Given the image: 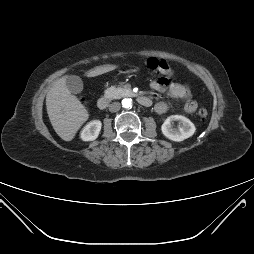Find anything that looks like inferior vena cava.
<instances>
[{"instance_id": "obj_1", "label": "inferior vena cava", "mask_w": 254, "mask_h": 254, "mask_svg": "<svg viewBox=\"0 0 254 254\" xmlns=\"http://www.w3.org/2000/svg\"><path fill=\"white\" fill-rule=\"evenodd\" d=\"M120 103L119 102H113L109 105V111L110 112H117L120 109Z\"/></svg>"}]
</instances>
